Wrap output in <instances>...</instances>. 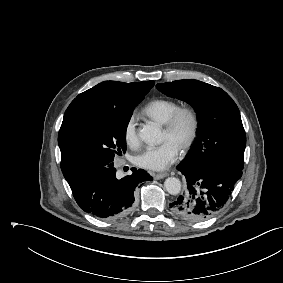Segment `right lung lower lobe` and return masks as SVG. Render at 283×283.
Returning <instances> with one entry per match:
<instances>
[{
	"instance_id": "1",
	"label": "right lung lower lobe",
	"mask_w": 283,
	"mask_h": 283,
	"mask_svg": "<svg viewBox=\"0 0 283 283\" xmlns=\"http://www.w3.org/2000/svg\"><path fill=\"white\" fill-rule=\"evenodd\" d=\"M118 180L113 166L84 169L68 179L80 208L99 218H115L128 213L134 204V191L139 183L152 180L142 169Z\"/></svg>"
}]
</instances>
